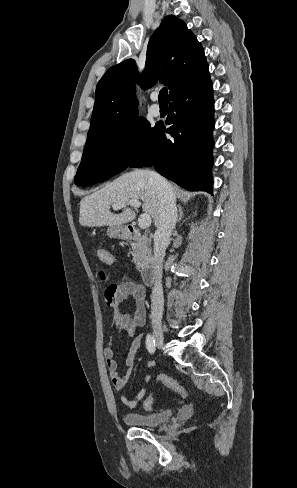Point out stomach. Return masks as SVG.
Returning a JSON list of instances; mask_svg holds the SVG:
<instances>
[{
	"label": "stomach",
	"instance_id": "obj_1",
	"mask_svg": "<svg viewBox=\"0 0 297 488\" xmlns=\"http://www.w3.org/2000/svg\"><path fill=\"white\" fill-rule=\"evenodd\" d=\"M107 234L110 238L127 239L128 232L124 226H111L107 230Z\"/></svg>",
	"mask_w": 297,
	"mask_h": 488
}]
</instances>
